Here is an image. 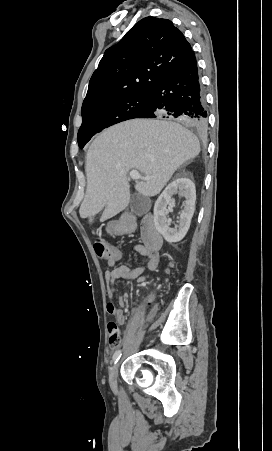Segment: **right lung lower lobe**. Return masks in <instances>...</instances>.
Returning a JSON list of instances; mask_svg holds the SVG:
<instances>
[{
    "instance_id": "obj_1",
    "label": "right lung lower lobe",
    "mask_w": 272,
    "mask_h": 451,
    "mask_svg": "<svg viewBox=\"0 0 272 451\" xmlns=\"http://www.w3.org/2000/svg\"><path fill=\"white\" fill-rule=\"evenodd\" d=\"M207 116L205 96L193 54L153 88L147 109L137 118L177 119L204 132L208 126Z\"/></svg>"
}]
</instances>
